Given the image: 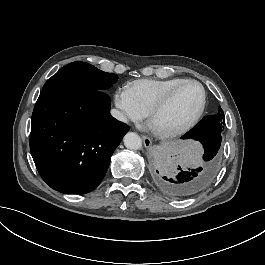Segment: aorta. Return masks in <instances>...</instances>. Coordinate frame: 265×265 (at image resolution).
<instances>
[{
	"label": "aorta",
	"instance_id": "1",
	"mask_svg": "<svg viewBox=\"0 0 265 265\" xmlns=\"http://www.w3.org/2000/svg\"><path fill=\"white\" fill-rule=\"evenodd\" d=\"M124 145L131 150H138L142 147V140L140 136L134 132H128L124 138Z\"/></svg>",
	"mask_w": 265,
	"mask_h": 265
}]
</instances>
